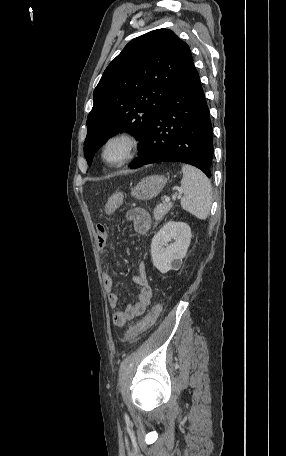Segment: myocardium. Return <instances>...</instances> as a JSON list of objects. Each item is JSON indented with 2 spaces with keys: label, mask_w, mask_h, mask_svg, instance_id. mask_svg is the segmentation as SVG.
Listing matches in <instances>:
<instances>
[{
  "label": "myocardium",
  "mask_w": 286,
  "mask_h": 456,
  "mask_svg": "<svg viewBox=\"0 0 286 456\" xmlns=\"http://www.w3.org/2000/svg\"><path fill=\"white\" fill-rule=\"evenodd\" d=\"M117 139H126L130 143V151L127 157H125L123 160L119 162H110L106 159L105 156L106 149L112 141ZM141 147L142 139L137 132L129 129L120 130L113 133L105 140L101 149V158L103 162L110 167H121L132 161L138 155Z\"/></svg>",
  "instance_id": "obj_1"
}]
</instances>
